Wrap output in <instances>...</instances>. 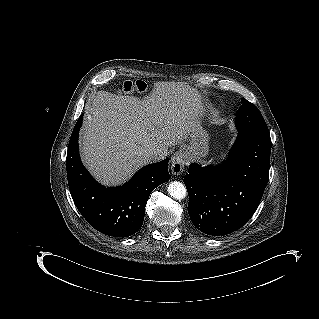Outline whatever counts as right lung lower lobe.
Returning <instances> with one entry per match:
<instances>
[{"mask_svg":"<svg viewBox=\"0 0 319 319\" xmlns=\"http://www.w3.org/2000/svg\"><path fill=\"white\" fill-rule=\"evenodd\" d=\"M82 118L81 115L74 127L66 158L73 201L97 231L113 237L131 236L143 224L145 206L151 192L169 180V158L143 167L125 185L106 188L91 177L80 160L78 134Z\"/></svg>","mask_w":319,"mask_h":319,"instance_id":"obj_1","label":"right lung lower lobe"}]
</instances>
